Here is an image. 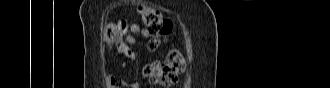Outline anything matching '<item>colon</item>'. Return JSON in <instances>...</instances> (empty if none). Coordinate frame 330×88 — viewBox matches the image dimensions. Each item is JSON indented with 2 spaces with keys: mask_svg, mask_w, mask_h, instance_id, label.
I'll list each match as a JSON object with an SVG mask.
<instances>
[{
  "mask_svg": "<svg viewBox=\"0 0 330 88\" xmlns=\"http://www.w3.org/2000/svg\"><path fill=\"white\" fill-rule=\"evenodd\" d=\"M138 14L143 27L150 36L147 47L150 51H154L171 33L172 21L164 18L158 10L153 8L140 7ZM127 34L126 21L119 20L104 28L103 39L107 45L120 46L124 43ZM185 67L186 60L183 54L179 50L173 49L167 54L165 60L146 63L143 67V75L152 84L170 87L176 82L178 75L185 70Z\"/></svg>",
  "mask_w": 330,
  "mask_h": 88,
  "instance_id": "colon-1",
  "label": "colon"
}]
</instances>
